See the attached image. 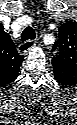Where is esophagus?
<instances>
[{
    "mask_svg": "<svg viewBox=\"0 0 77 125\" xmlns=\"http://www.w3.org/2000/svg\"><path fill=\"white\" fill-rule=\"evenodd\" d=\"M36 45L35 40H27L19 45L18 52L21 54H27Z\"/></svg>",
    "mask_w": 77,
    "mask_h": 125,
    "instance_id": "esophagus-1",
    "label": "esophagus"
}]
</instances>
